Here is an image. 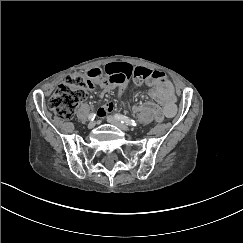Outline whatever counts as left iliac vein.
I'll return each mask as SVG.
<instances>
[{
    "label": "left iliac vein",
    "mask_w": 243,
    "mask_h": 243,
    "mask_svg": "<svg viewBox=\"0 0 243 243\" xmlns=\"http://www.w3.org/2000/svg\"><path fill=\"white\" fill-rule=\"evenodd\" d=\"M106 119L110 124L117 126L118 128H120L123 131H129L130 130V128L127 125L121 123L117 118H115L113 116H107Z\"/></svg>",
    "instance_id": "obj_1"
}]
</instances>
